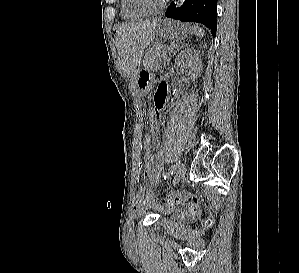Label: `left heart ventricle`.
Masks as SVG:
<instances>
[{"mask_svg":"<svg viewBox=\"0 0 299 273\" xmlns=\"http://www.w3.org/2000/svg\"><path fill=\"white\" fill-rule=\"evenodd\" d=\"M163 0H146V2L150 5V6H157L159 5Z\"/></svg>","mask_w":299,"mask_h":273,"instance_id":"obj_1","label":"left heart ventricle"}]
</instances>
